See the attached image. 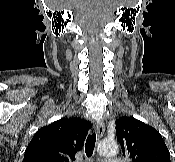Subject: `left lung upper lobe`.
<instances>
[{"label": "left lung upper lobe", "mask_w": 175, "mask_h": 162, "mask_svg": "<svg viewBox=\"0 0 175 162\" xmlns=\"http://www.w3.org/2000/svg\"><path fill=\"white\" fill-rule=\"evenodd\" d=\"M116 135L123 155L131 162H170L169 150L153 127L133 118L116 120Z\"/></svg>", "instance_id": "left-lung-upper-lobe-1"}]
</instances>
